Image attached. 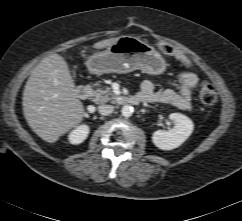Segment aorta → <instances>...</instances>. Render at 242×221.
Here are the masks:
<instances>
[{"mask_svg": "<svg viewBox=\"0 0 242 221\" xmlns=\"http://www.w3.org/2000/svg\"><path fill=\"white\" fill-rule=\"evenodd\" d=\"M133 112H134V108L130 105H124L121 109V114L124 117L132 116Z\"/></svg>", "mask_w": 242, "mask_h": 221, "instance_id": "762f6f07", "label": "aorta"}]
</instances>
